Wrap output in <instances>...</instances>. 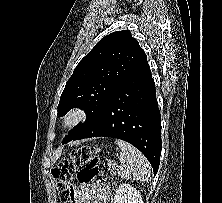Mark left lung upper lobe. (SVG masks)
<instances>
[{
	"label": "left lung upper lobe",
	"mask_w": 222,
	"mask_h": 203,
	"mask_svg": "<svg viewBox=\"0 0 222 203\" xmlns=\"http://www.w3.org/2000/svg\"><path fill=\"white\" fill-rule=\"evenodd\" d=\"M131 32L122 30L102 38L78 63L60 97L59 116L78 107L87 120L68 132L63 143L72 141L99 114L113 92L130 76L145 57Z\"/></svg>",
	"instance_id": "obj_1"
}]
</instances>
